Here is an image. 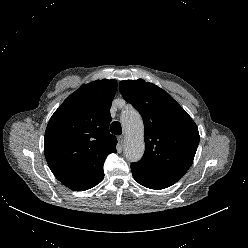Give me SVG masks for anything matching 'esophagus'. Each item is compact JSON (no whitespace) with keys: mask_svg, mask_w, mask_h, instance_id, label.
Returning <instances> with one entry per match:
<instances>
[{"mask_svg":"<svg viewBox=\"0 0 248 248\" xmlns=\"http://www.w3.org/2000/svg\"><path fill=\"white\" fill-rule=\"evenodd\" d=\"M118 141H119L120 145H123L125 142V136L124 135L118 136Z\"/></svg>","mask_w":248,"mask_h":248,"instance_id":"1","label":"esophagus"}]
</instances>
